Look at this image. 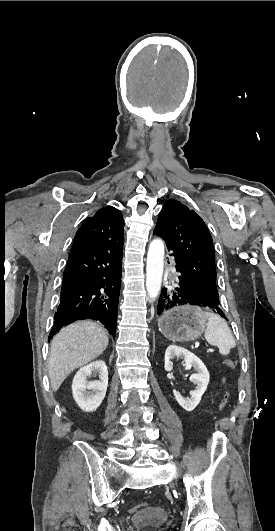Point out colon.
<instances>
[{
	"instance_id": "1",
	"label": "colon",
	"mask_w": 275,
	"mask_h": 531,
	"mask_svg": "<svg viewBox=\"0 0 275 531\" xmlns=\"http://www.w3.org/2000/svg\"><path fill=\"white\" fill-rule=\"evenodd\" d=\"M224 366L227 369L234 370L237 367V362L234 359H226L224 361ZM219 403H220V407L222 409H225L229 405L230 397H229V395L226 392L223 393L222 397L219 400ZM146 507H147L146 503L141 502V503L137 504L135 507H133V510L142 511V510L146 509Z\"/></svg>"
}]
</instances>
